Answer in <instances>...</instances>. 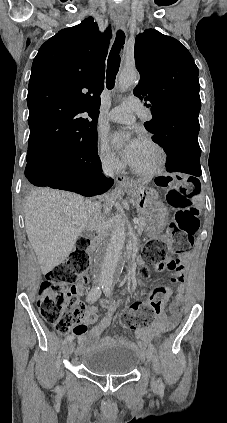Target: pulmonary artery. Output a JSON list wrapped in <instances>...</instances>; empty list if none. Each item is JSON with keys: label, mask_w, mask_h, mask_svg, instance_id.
Wrapping results in <instances>:
<instances>
[{"label": "pulmonary artery", "mask_w": 227, "mask_h": 423, "mask_svg": "<svg viewBox=\"0 0 227 423\" xmlns=\"http://www.w3.org/2000/svg\"><path fill=\"white\" fill-rule=\"evenodd\" d=\"M137 104L133 100H125L121 105L113 108L107 119L114 123L132 124L136 120H152V111H136ZM136 111V112H135ZM135 113V115H134Z\"/></svg>", "instance_id": "obj_1"}]
</instances>
